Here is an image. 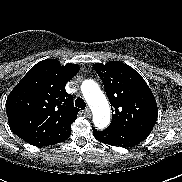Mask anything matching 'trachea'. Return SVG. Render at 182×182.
Returning a JSON list of instances; mask_svg holds the SVG:
<instances>
[{"instance_id":"obj_1","label":"trachea","mask_w":182,"mask_h":182,"mask_svg":"<svg viewBox=\"0 0 182 182\" xmlns=\"http://www.w3.org/2000/svg\"><path fill=\"white\" fill-rule=\"evenodd\" d=\"M75 106L78 107V108H81V109H85L86 103L82 98L78 97L75 100Z\"/></svg>"}]
</instances>
